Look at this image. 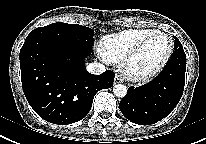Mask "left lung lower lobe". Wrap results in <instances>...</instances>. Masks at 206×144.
<instances>
[{
    "instance_id": "obj_1",
    "label": "left lung lower lobe",
    "mask_w": 206,
    "mask_h": 144,
    "mask_svg": "<svg viewBox=\"0 0 206 144\" xmlns=\"http://www.w3.org/2000/svg\"><path fill=\"white\" fill-rule=\"evenodd\" d=\"M186 55L175 48L163 70L149 83L128 88L120 101L122 114L139 125L154 124L166 117L178 104L184 90Z\"/></svg>"
}]
</instances>
